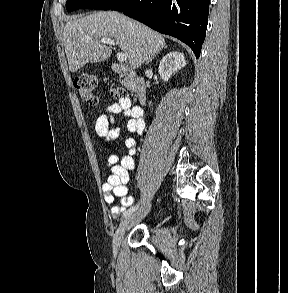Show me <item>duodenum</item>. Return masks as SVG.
<instances>
[{
	"label": "duodenum",
	"mask_w": 288,
	"mask_h": 293,
	"mask_svg": "<svg viewBox=\"0 0 288 293\" xmlns=\"http://www.w3.org/2000/svg\"><path fill=\"white\" fill-rule=\"evenodd\" d=\"M113 70L119 74L121 82L136 94L139 102L144 104L147 94L144 79L137 77L134 71L125 65L115 63L113 64Z\"/></svg>",
	"instance_id": "410a0bca"
}]
</instances>
